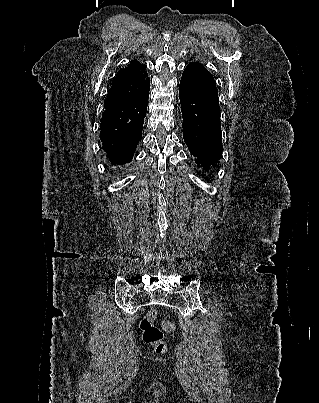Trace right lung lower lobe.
<instances>
[{"mask_svg":"<svg viewBox=\"0 0 319 403\" xmlns=\"http://www.w3.org/2000/svg\"><path fill=\"white\" fill-rule=\"evenodd\" d=\"M148 97L149 92L103 112L100 139L112 165H124L132 160L142 136Z\"/></svg>","mask_w":319,"mask_h":403,"instance_id":"98d812e1","label":"right lung lower lobe"}]
</instances>
